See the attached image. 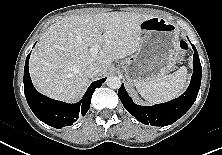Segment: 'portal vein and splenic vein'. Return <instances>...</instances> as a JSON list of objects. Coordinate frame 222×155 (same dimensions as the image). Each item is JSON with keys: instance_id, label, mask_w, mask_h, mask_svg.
Returning a JSON list of instances; mask_svg holds the SVG:
<instances>
[{"instance_id": "18ae733b", "label": "portal vein and splenic vein", "mask_w": 222, "mask_h": 155, "mask_svg": "<svg viewBox=\"0 0 222 155\" xmlns=\"http://www.w3.org/2000/svg\"><path fill=\"white\" fill-rule=\"evenodd\" d=\"M99 50H100V46L99 45H94L90 49L91 53H93V54H97Z\"/></svg>"}]
</instances>
